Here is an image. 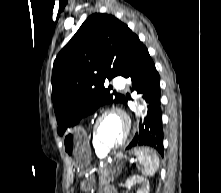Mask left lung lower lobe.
<instances>
[{"mask_svg":"<svg viewBox=\"0 0 221 193\" xmlns=\"http://www.w3.org/2000/svg\"><path fill=\"white\" fill-rule=\"evenodd\" d=\"M122 76L132 81L131 91L143 94L148 103V114L140 120L139 129L127 149L150 146L163 156V128L160 108V76L148 53L139 42L132 53ZM127 99H125V104Z\"/></svg>","mask_w":221,"mask_h":193,"instance_id":"0a47b994","label":"left lung lower lobe"}]
</instances>
